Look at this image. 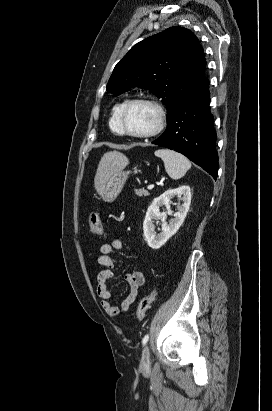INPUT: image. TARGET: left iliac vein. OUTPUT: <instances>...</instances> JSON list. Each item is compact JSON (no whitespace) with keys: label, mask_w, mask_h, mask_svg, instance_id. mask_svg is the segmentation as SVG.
<instances>
[{"label":"left iliac vein","mask_w":272,"mask_h":411,"mask_svg":"<svg viewBox=\"0 0 272 411\" xmlns=\"http://www.w3.org/2000/svg\"><path fill=\"white\" fill-rule=\"evenodd\" d=\"M149 361H150V352H149V347L146 345L142 353V360H141L142 367L148 366Z\"/></svg>","instance_id":"obj_1"}]
</instances>
